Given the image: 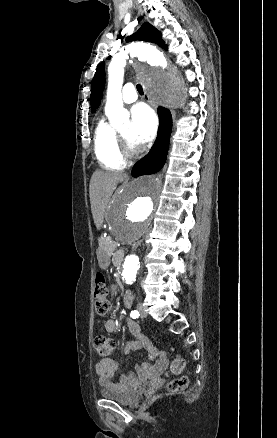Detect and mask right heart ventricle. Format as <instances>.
<instances>
[{
    "label": "right heart ventricle",
    "mask_w": 277,
    "mask_h": 438,
    "mask_svg": "<svg viewBox=\"0 0 277 438\" xmlns=\"http://www.w3.org/2000/svg\"><path fill=\"white\" fill-rule=\"evenodd\" d=\"M94 150L103 168L111 171L123 170L125 159L117 142L116 130L105 118H101L96 127Z\"/></svg>",
    "instance_id": "1"
}]
</instances>
